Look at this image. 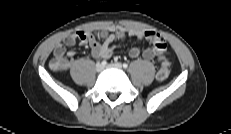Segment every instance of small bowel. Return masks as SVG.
<instances>
[{"mask_svg": "<svg viewBox=\"0 0 231 134\" xmlns=\"http://www.w3.org/2000/svg\"><path fill=\"white\" fill-rule=\"evenodd\" d=\"M125 35L135 37L138 40H147L150 46L141 52L139 47H133L129 50L131 58L142 57L148 61H163L166 50V42L162 36L154 31L140 30L136 28H124L111 26L98 32L77 31L65 37L54 49L55 58H70L69 64L75 62L76 53L73 50L66 51L67 47L75 44L76 40H80L83 45H88L91 49L92 56L95 58H110L116 46L113 43H119L125 40Z\"/></svg>", "mask_w": 231, "mask_h": 134, "instance_id": "1", "label": "small bowel"}]
</instances>
